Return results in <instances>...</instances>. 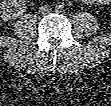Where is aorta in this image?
I'll return each mask as SVG.
<instances>
[{
	"instance_id": "1",
	"label": "aorta",
	"mask_w": 111,
	"mask_h": 106,
	"mask_svg": "<svg viewBox=\"0 0 111 106\" xmlns=\"http://www.w3.org/2000/svg\"><path fill=\"white\" fill-rule=\"evenodd\" d=\"M56 9H57V10H60V7H59V6H57V7H56Z\"/></svg>"
}]
</instances>
